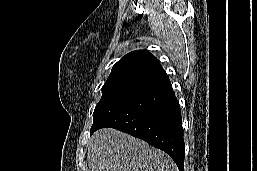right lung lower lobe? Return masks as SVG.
<instances>
[{
  "mask_svg": "<svg viewBox=\"0 0 257 171\" xmlns=\"http://www.w3.org/2000/svg\"><path fill=\"white\" fill-rule=\"evenodd\" d=\"M104 127L128 133L165 151L179 171H184L182 116L169 79L133 98L96 130Z\"/></svg>",
  "mask_w": 257,
  "mask_h": 171,
  "instance_id": "98d812e1",
  "label": "right lung lower lobe"
}]
</instances>
